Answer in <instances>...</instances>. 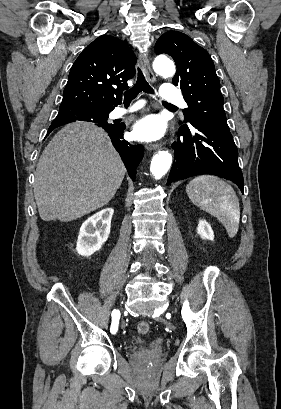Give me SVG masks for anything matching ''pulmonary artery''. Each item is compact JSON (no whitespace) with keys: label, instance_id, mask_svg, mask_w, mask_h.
Instances as JSON below:
<instances>
[{"label":"pulmonary artery","instance_id":"1","mask_svg":"<svg viewBox=\"0 0 281 409\" xmlns=\"http://www.w3.org/2000/svg\"><path fill=\"white\" fill-rule=\"evenodd\" d=\"M161 92L163 93L165 103H182L184 100L183 95L179 94L178 87L175 81H166L164 83V87L161 89ZM182 106L186 107L187 104L183 102ZM133 111L134 109L125 110L116 108L111 113V117L114 119L122 118Z\"/></svg>","mask_w":281,"mask_h":409}]
</instances>
